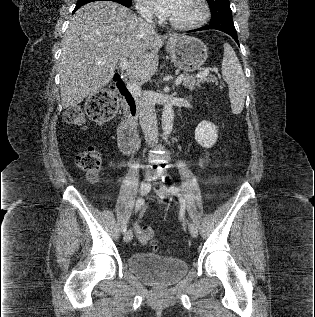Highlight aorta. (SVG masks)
<instances>
[{
  "label": "aorta",
  "instance_id": "1",
  "mask_svg": "<svg viewBox=\"0 0 315 317\" xmlns=\"http://www.w3.org/2000/svg\"><path fill=\"white\" fill-rule=\"evenodd\" d=\"M173 121H174V110L173 105L170 101H167L164 104L163 112H162V130L163 135L168 137L173 129Z\"/></svg>",
  "mask_w": 315,
  "mask_h": 317
}]
</instances>
